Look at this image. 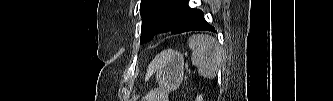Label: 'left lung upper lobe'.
I'll use <instances>...</instances> for the list:
<instances>
[{
  "label": "left lung upper lobe",
  "mask_w": 333,
  "mask_h": 101,
  "mask_svg": "<svg viewBox=\"0 0 333 101\" xmlns=\"http://www.w3.org/2000/svg\"><path fill=\"white\" fill-rule=\"evenodd\" d=\"M141 40L145 43L158 33L173 32L179 26L185 12L175 0H142Z\"/></svg>",
  "instance_id": "left-lung-upper-lobe-1"
}]
</instances>
